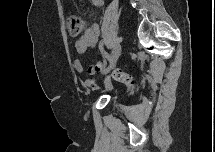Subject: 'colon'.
<instances>
[{
    "label": "colon",
    "instance_id": "obj_1",
    "mask_svg": "<svg viewBox=\"0 0 215 152\" xmlns=\"http://www.w3.org/2000/svg\"><path fill=\"white\" fill-rule=\"evenodd\" d=\"M67 26L70 35L77 37L84 29V20L79 16L71 15L68 17ZM106 70V64L100 61L92 62L87 68V72L89 74L103 73ZM111 75L114 80L121 82L130 88H132L135 84L133 78L121 70L115 69L112 71Z\"/></svg>",
    "mask_w": 215,
    "mask_h": 152
}]
</instances>
